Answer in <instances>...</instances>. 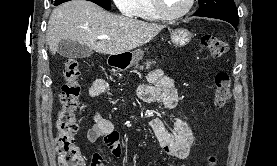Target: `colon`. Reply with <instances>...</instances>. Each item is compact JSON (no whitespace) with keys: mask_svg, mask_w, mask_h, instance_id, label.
I'll list each match as a JSON object with an SVG mask.
<instances>
[{"mask_svg":"<svg viewBox=\"0 0 277 166\" xmlns=\"http://www.w3.org/2000/svg\"><path fill=\"white\" fill-rule=\"evenodd\" d=\"M201 45L209 58H218L226 53L228 44L215 36L204 35ZM64 84L61 89V109L56 120V145L59 166H86L84 157L76 144L75 133L78 126L75 112L81 95L80 65L77 59L68 58L65 61ZM231 96V79L228 73L219 72L214 78L213 103L216 109L224 108ZM216 157H208V165L215 166Z\"/></svg>","mask_w":277,"mask_h":166,"instance_id":"1","label":"colon"}]
</instances>
